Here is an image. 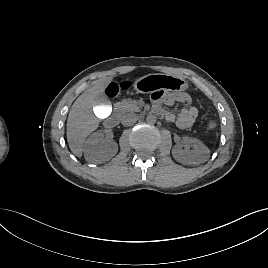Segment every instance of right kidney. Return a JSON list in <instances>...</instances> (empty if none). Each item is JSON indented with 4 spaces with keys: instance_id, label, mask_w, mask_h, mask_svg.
<instances>
[{
    "instance_id": "obj_1",
    "label": "right kidney",
    "mask_w": 268,
    "mask_h": 268,
    "mask_svg": "<svg viewBox=\"0 0 268 268\" xmlns=\"http://www.w3.org/2000/svg\"><path fill=\"white\" fill-rule=\"evenodd\" d=\"M102 132L93 133L85 142L84 156L90 163H103L110 160L118 151V145L113 140L104 141Z\"/></svg>"
}]
</instances>
